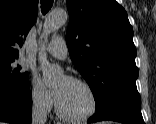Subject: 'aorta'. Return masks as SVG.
Here are the masks:
<instances>
[{
  "label": "aorta",
  "mask_w": 156,
  "mask_h": 124,
  "mask_svg": "<svg viewBox=\"0 0 156 124\" xmlns=\"http://www.w3.org/2000/svg\"><path fill=\"white\" fill-rule=\"evenodd\" d=\"M67 21V13L64 10H55L50 13L43 24L42 39H46L53 31L64 25ZM40 67L43 73V79L46 83L53 82L62 72L49 63L45 52H40L38 55Z\"/></svg>",
  "instance_id": "762f6f07"
}]
</instances>
